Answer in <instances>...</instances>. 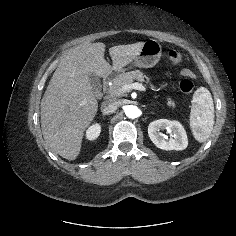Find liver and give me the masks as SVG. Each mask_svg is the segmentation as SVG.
Instances as JSON below:
<instances>
[{"label": "liver", "mask_w": 236, "mask_h": 236, "mask_svg": "<svg viewBox=\"0 0 236 236\" xmlns=\"http://www.w3.org/2000/svg\"><path fill=\"white\" fill-rule=\"evenodd\" d=\"M144 42L109 49L112 66L105 60V44L83 43L62 57L41 100L42 134L49 147L67 160L80 154L85 130L93 121L98 102L89 74L106 77L121 72L140 53Z\"/></svg>", "instance_id": "6515ba94"}]
</instances>
